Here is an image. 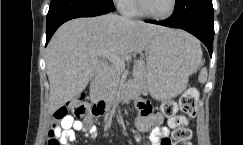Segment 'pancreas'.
I'll return each instance as SVG.
<instances>
[{
    "label": "pancreas",
    "instance_id": "cf45deb5",
    "mask_svg": "<svg viewBox=\"0 0 243 145\" xmlns=\"http://www.w3.org/2000/svg\"><path fill=\"white\" fill-rule=\"evenodd\" d=\"M122 72L123 70L119 69L114 63L107 66L97 80L96 91L108 94L115 90L119 85ZM134 75L140 82H144L147 79V68L142 62L135 64Z\"/></svg>",
    "mask_w": 243,
    "mask_h": 145
}]
</instances>
